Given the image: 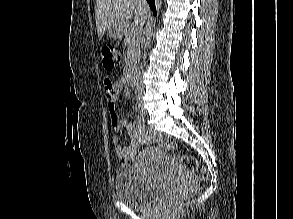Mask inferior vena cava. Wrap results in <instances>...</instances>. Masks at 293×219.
I'll use <instances>...</instances> for the list:
<instances>
[{
	"label": "inferior vena cava",
	"instance_id": "1",
	"mask_svg": "<svg viewBox=\"0 0 293 219\" xmlns=\"http://www.w3.org/2000/svg\"><path fill=\"white\" fill-rule=\"evenodd\" d=\"M140 69H141V70L138 72V77L141 76V73H142V71H143V64H141Z\"/></svg>",
	"mask_w": 293,
	"mask_h": 219
}]
</instances>
